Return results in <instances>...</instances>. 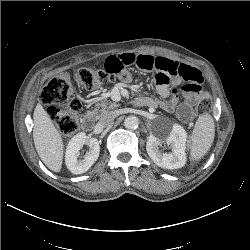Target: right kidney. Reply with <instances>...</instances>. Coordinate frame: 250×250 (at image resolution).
<instances>
[{
  "label": "right kidney",
  "instance_id": "ca27d5eb",
  "mask_svg": "<svg viewBox=\"0 0 250 250\" xmlns=\"http://www.w3.org/2000/svg\"><path fill=\"white\" fill-rule=\"evenodd\" d=\"M84 144L89 146V151L83 159L79 160V151ZM99 152L100 146L98 140L96 138L88 139L84 132H80L68 143L65 154L66 166L73 174L85 173L96 162Z\"/></svg>",
  "mask_w": 250,
  "mask_h": 250
}]
</instances>
